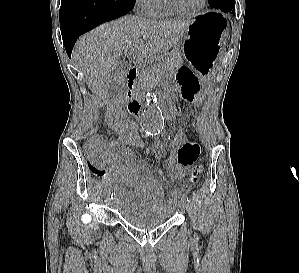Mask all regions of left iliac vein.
<instances>
[{"label":"left iliac vein","mask_w":299,"mask_h":273,"mask_svg":"<svg viewBox=\"0 0 299 273\" xmlns=\"http://www.w3.org/2000/svg\"><path fill=\"white\" fill-rule=\"evenodd\" d=\"M178 207L182 211H186L187 210V205H186V202H184V201H180L179 204H178Z\"/></svg>","instance_id":"4c4485c4"}]
</instances>
